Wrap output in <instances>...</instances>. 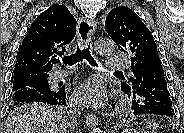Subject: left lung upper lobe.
Returning <instances> with one entry per match:
<instances>
[{
    "label": "left lung upper lobe",
    "instance_id": "left-lung-upper-lobe-1",
    "mask_svg": "<svg viewBox=\"0 0 184 133\" xmlns=\"http://www.w3.org/2000/svg\"><path fill=\"white\" fill-rule=\"evenodd\" d=\"M105 29L116 42L120 51L131 55V69L134 76L130 78V85H121L123 92L137 89L144 80L146 63L157 46L146 25L128 7L119 6L112 9L106 17Z\"/></svg>",
    "mask_w": 184,
    "mask_h": 133
}]
</instances>
